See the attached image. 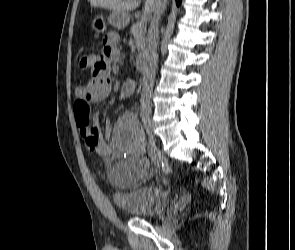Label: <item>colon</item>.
<instances>
[{
    "instance_id": "5ec220e1",
    "label": "colon",
    "mask_w": 295,
    "mask_h": 250,
    "mask_svg": "<svg viewBox=\"0 0 295 250\" xmlns=\"http://www.w3.org/2000/svg\"><path fill=\"white\" fill-rule=\"evenodd\" d=\"M80 67L83 69H89L93 65V59L91 54H84L80 58ZM75 118L78 126L87 127L90 125L91 120V106L86 100H78L74 105Z\"/></svg>"
}]
</instances>
